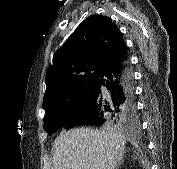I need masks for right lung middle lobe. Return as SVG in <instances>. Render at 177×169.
<instances>
[{
	"mask_svg": "<svg viewBox=\"0 0 177 169\" xmlns=\"http://www.w3.org/2000/svg\"><path fill=\"white\" fill-rule=\"evenodd\" d=\"M96 94L95 82L87 83L68 94L62 101L44 107V129L50 134L85 112Z\"/></svg>",
	"mask_w": 177,
	"mask_h": 169,
	"instance_id": "dd1d6c3e",
	"label": "right lung middle lobe"
}]
</instances>
